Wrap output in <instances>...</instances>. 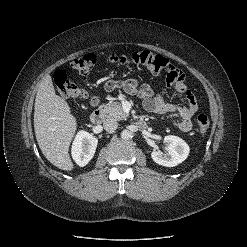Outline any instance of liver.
Returning a JSON list of instances; mask_svg holds the SVG:
<instances>
[{
	"mask_svg": "<svg viewBox=\"0 0 247 247\" xmlns=\"http://www.w3.org/2000/svg\"><path fill=\"white\" fill-rule=\"evenodd\" d=\"M34 129L38 145L46 159L59 169L74 168L69 146L77 129L69 104L55 92L52 78H42L34 108Z\"/></svg>",
	"mask_w": 247,
	"mask_h": 247,
	"instance_id": "1",
	"label": "liver"
}]
</instances>
